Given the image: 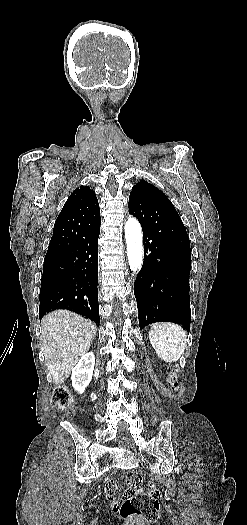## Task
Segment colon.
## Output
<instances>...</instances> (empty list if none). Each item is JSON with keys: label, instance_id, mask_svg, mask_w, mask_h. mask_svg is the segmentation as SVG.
Here are the masks:
<instances>
[{"label": "colon", "instance_id": "5ec220e1", "mask_svg": "<svg viewBox=\"0 0 247 525\" xmlns=\"http://www.w3.org/2000/svg\"><path fill=\"white\" fill-rule=\"evenodd\" d=\"M177 371L173 367L167 378L170 388L177 385ZM73 398L67 389L61 385L54 388L53 404L60 410H69ZM126 484L129 489L121 496L120 515L130 520H138L148 524L155 523L160 516V489L153 482H143L139 473L131 471L126 474Z\"/></svg>", "mask_w": 247, "mask_h": 525}]
</instances>
